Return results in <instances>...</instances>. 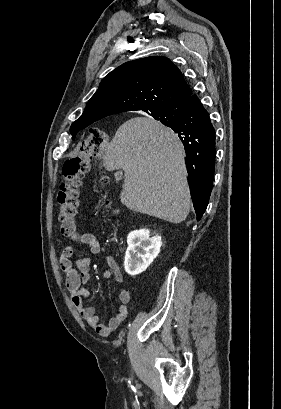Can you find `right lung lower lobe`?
<instances>
[{
    "instance_id": "98d812e1",
    "label": "right lung lower lobe",
    "mask_w": 281,
    "mask_h": 409,
    "mask_svg": "<svg viewBox=\"0 0 281 409\" xmlns=\"http://www.w3.org/2000/svg\"><path fill=\"white\" fill-rule=\"evenodd\" d=\"M148 113L154 118H174L168 127L178 134L185 147L191 198L200 220L208 205L215 170V130L209 114L196 95Z\"/></svg>"
}]
</instances>
